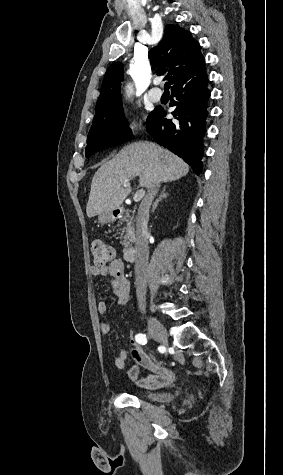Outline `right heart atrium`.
Masks as SVG:
<instances>
[{"label": "right heart atrium", "instance_id": "d8ad5b80", "mask_svg": "<svg viewBox=\"0 0 283 475\" xmlns=\"http://www.w3.org/2000/svg\"><path fill=\"white\" fill-rule=\"evenodd\" d=\"M122 132L127 134L138 133L142 130V123L140 119L131 117L122 125Z\"/></svg>", "mask_w": 283, "mask_h": 475}]
</instances>
